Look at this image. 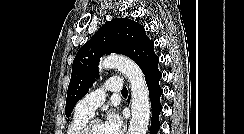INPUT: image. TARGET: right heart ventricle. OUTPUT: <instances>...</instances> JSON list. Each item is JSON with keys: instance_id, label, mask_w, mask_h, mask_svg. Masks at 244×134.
I'll return each instance as SVG.
<instances>
[{"instance_id": "e07e8e85", "label": "right heart ventricle", "mask_w": 244, "mask_h": 134, "mask_svg": "<svg viewBox=\"0 0 244 134\" xmlns=\"http://www.w3.org/2000/svg\"><path fill=\"white\" fill-rule=\"evenodd\" d=\"M90 120L89 116L79 113L74 114L73 118L68 124L66 134H80L84 125Z\"/></svg>"}]
</instances>
